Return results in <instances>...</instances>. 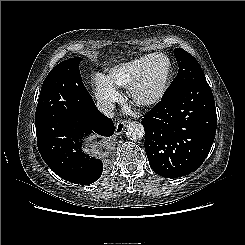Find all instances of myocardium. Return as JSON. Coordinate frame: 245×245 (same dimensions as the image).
Here are the masks:
<instances>
[{
	"mask_svg": "<svg viewBox=\"0 0 245 245\" xmlns=\"http://www.w3.org/2000/svg\"><path fill=\"white\" fill-rule=\"evenodd\" d=\"M155 57H162L166 60L167 62L166 71H165L164 77L158 89L156 90V92L149 97H142L140 95V91L142 89V86L146 78L148 66H149L150 61ZM171 76H172V64H171L169 57L166 54L160 53V52L150 54L147 60L145 61V63L143 64L138 75L135 77L133 82L128 87V95H129L130 100L132 101V103L140 107L155 106L164 97L169 87Z\"/></svg>",
	"mask_w": 245,
	"mask_h": 245,
	"instance_id": "myocardium-1",
	"label": "myocardium"
}]
</instances>
